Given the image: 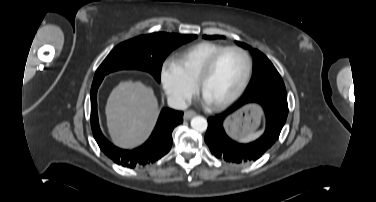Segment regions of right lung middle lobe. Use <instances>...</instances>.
<instances>
[{
	"label": "right lung middle lobe",
	"instance_id": "dd1d6c3e",
	"mask_svg": "<svg viewBox=\"0 0 376 202\" xmlns=\"http://www.w3.org/2000/svg\"><path fill=\"white\" fill-rule=\"evenodd\" d=\"M197 35L153 33L141 35L116 46L97 69L93 82L120 69H140L160 82L162 63L168 54Z\"/></svg>",
	"mask_w": 376,
	"mask_h": 202
}]
</instances>
